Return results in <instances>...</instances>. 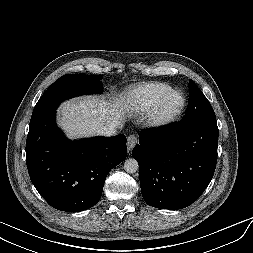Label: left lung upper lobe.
I'll list each match as a JSON object with an SVG mask.
<instances>
[{"label":"left lung upper lobe","mask_w":253,"mask_h":253,"mask_svg":"<svg viewBox=\"0 0 253 253\" xmlns=\"http://www.w3.org/2000/svg\"><path fill=\"white\" fill-rule=\"evenodd\" d=\"M189 93L188 107L181 124L189 125L198 121L216 119L209 101L193 81L189 82Z\"/></svg>","instance_id":"5c2ea615"}]
</instances>
